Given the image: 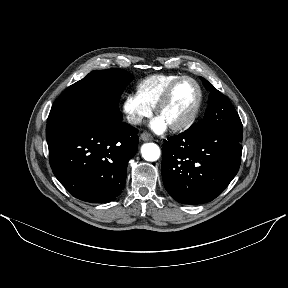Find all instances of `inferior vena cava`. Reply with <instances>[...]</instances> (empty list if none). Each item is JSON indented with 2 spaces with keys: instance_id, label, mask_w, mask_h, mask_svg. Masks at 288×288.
Here are the masks:
<instances>
[{
  "instance_id": "1",
  "label": "inferior vena cava",
  "mask_w": 288,
  "mask_h": 288,
  "mask_svg": "<svg viewBox=\"0 0 288 288\" xmlns=\"http://www.w3.org/2000/svg\"><path fill=\"white\" fill-rule=\"evenodd\" d=\"M127 120L130 124H140L141 123V119L140 118H136V117H127Z\"/></svg>"
}]
</instances>
